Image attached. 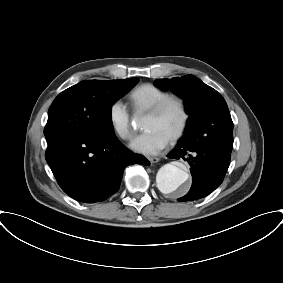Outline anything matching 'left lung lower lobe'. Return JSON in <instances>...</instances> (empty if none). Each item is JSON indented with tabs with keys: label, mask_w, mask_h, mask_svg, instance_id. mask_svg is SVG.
Masks as SVG:
<instances>
[{
	"label": "left lung lower lobe",
	"mask_w": 283,
	"mask_h": 283,
	"mask_svg": "<svg viewBox=\"0 0 283 283\" xmlns=\"http://www.w3.org/2000/svg\"><path fill=\"white\" fill-rule=\"evenodd\" d=\"M198 128L185 129L183 137L169 153V158L183 159L191 166L192 186L178 200L191 201L209 195L220 186L230 163V151L208 147L201 141Z\"/></svg>",
	"instance_id": "left-lung-lower-lobe-1"
}]
</instances>
